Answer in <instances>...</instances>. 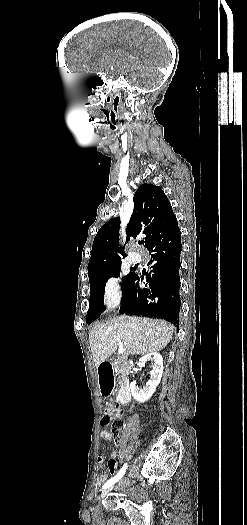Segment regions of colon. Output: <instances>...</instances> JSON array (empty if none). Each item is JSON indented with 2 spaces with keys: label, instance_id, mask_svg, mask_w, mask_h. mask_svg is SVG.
I'll return each instance as SVG.
<instances>
[{
  "label": "colon",
  "instance_id": "5ec220e1",
  "mask_svg": "<svg viewBox=\"0 0 247 525\" xmlns=\"http://www.w3.org/2000/svg\"><path fill=\"white\" fill-rule=\"evenodd\" d=\"M114 419V427L121 429L123 427V420L119 418V407L116 404H109L107 406V411L104 415V418L101 421L103 427L108 428L111 426Z\"/></svg>",
  "mask_w": 247,
  "mask_h": 525
}]
</instances>
